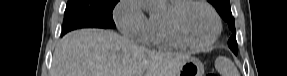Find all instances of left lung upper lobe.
<instances>
[{
    "label": "left lung upper lobe",
    "mask_w": 287,
    "mask_h": 76,
    "mask_svg": "<svg viewBox=\"0 0 287 76\" xmlns=\"http://www.w3.org/2000/svg\"><path fill=\"white\" fill-rule=\"evenodd\" d=\"M217 10L219 15L228 22L230 30L233 32L232 36L230 37L228 41L229 48L237 54L238 52V46L235 36V22L234 18L231 15V9H230V1L229 0H208Z\"/></svg>",
    "instance_id": "5c2ea615"
}]
</instances>
